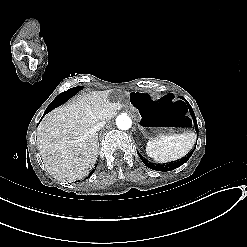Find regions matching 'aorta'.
I'll use <instances>...</instances> for the list:
<instances>
[{
  "mask_svg": "<svg viewBox=\"0 0 247 247\" xmlns=\"http://www.w3.org/2000/svg\"><path fill=\"white\" fill-rule=\"evenodd\" d=\"M116 125L121 130H128L132 125V120L127 114H121L116 118Z\"/></svg>",
  "mask_w": 247,
  "mask_h": 247,
  "instance_id": "762f6f07",
  "label": "aorta"
}]
</instances>
